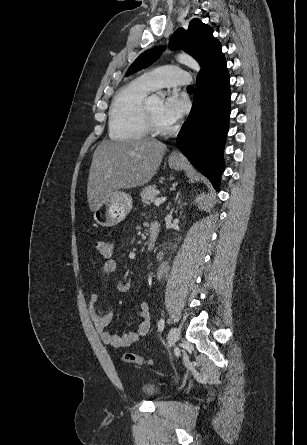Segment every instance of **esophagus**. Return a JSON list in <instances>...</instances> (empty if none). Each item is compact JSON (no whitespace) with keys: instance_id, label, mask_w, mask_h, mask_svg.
<instances>
[{"instance_id":"34e87169","label":"esophagus","mask_w":307,"mask_h":445,"mask_svg":"<svg viewBox=\"0 0 307 445\" xmlns=\"http://www.w3.org/2000/svg\"><path fill=\"white\" fill-rule=\"evenodd\" d=\"M170 158H180V155H179L177 149H173V151L170 155Z\"/></svg>"}]
</instances>
